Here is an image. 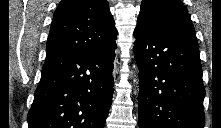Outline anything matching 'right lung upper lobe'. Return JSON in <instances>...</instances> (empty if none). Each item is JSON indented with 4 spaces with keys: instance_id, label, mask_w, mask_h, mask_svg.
<instances>
[{
    "instance_id": "right-lung-upper-lobe-1",
    "label": "right lung upper lobe",
    "mask_w": 221,
    "mask_h": 128,
    "mask_svg": "<svg viewBox=\"0 0 221 128\" xmlns=\"http://www.w3.org/2000/svg\"><path fill=\"white\" fill-rule=\"evenodd\" d=\"M116 37L106 0H62L53 15L46 60L69 52L101 49Z\"/></svg>"
}]
</instances>
